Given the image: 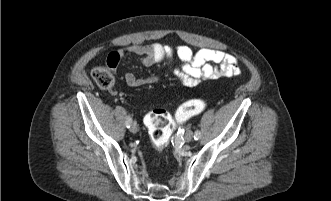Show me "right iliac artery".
Here are the masks:
<instances>
[{
    "label": "right iliac artery",
    "instance_id": "82829eb1",
    "mask_svg": "<svg viewBox=\"0 0 331 201\" xmlns=\"http://www.w3.org/2000/svg\"><path fill=\"white\" fill-rule=\"evenodd\" d=\"M131 122L132 118L130 117V115H128L125 122L127 128H130Z\"/></svg>",
    "mask_w": 331,
    "mask_h": 201
}]
</instances>
